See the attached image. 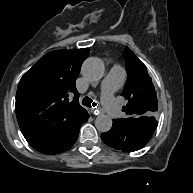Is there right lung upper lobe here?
I'll return each instance as SVG.
<instances>
[{
	"instance_id": "obj_1",
	"label": "right lung upper lobe",
	"mask_w": 193,
	"mask_h": 193,
	"mask_svg": "<svg viewBox=\"0 0 193 193\" xmlns=\"http://www.w3.org/2000/svg\"><path fill=\"white\" fill-rule=\"evenodd\" d=\"M89 48L57 50L43 56L19 82L16 115L22 134L36 150L57 148L87 121L75 80ZM73 97V99H71Z\"/></svg>"
}]
</instances>
